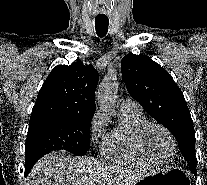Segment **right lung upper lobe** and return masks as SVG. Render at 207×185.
I'll use <instances>...</instances> for the list:
<instances>
[{"instance_id":"1","label":"right lung upper lobe","mask_w":207,"mask_h":185,"mask_svg":"<svg viewBox=\"0 0 207 185\" xmlns=\"http://www.w3.org/2000/svg\"><path fill=\"white\" fill-rule=\"evenodd\" d=\"M98 73L82 62L56 66L39 91L32 116H65L92 120Z\"/></svg>"}]
</instances>
